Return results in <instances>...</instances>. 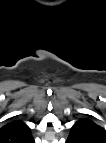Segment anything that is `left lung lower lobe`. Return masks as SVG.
Segmentation results:
<instances>
[{
  "mask_svg": "<svg viewBox=\"0 0 106 143\" xmlns=\"http://www.w3.org/2000/svg\"><path fill=\"white\" fill-rule=\"evenodd\" d=\"M66 143H80V141L76 137H74L72 135H69V137L67 138Z\"/></svg>",
  "mask_w": 106,
  "mask_h": 143,
  "instance_id": "1",
  "label": "left lung lower lobe"
}]
</instances>
